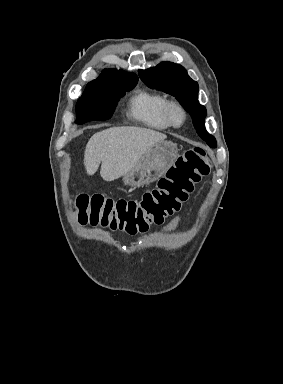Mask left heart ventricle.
<instances>
[{"instance_id": "b2bd125f", "label": "left heart ventricle", "mask_w": 283, "mask_h": 384, "mask_svg": "<svg viewBox=\"0 0 283 384\" xmlns=\"http://www.w3.org/2000/svg\"><path fill=\"white\" fill-rule=\"evenodd\" d=\"M173 118H174L175 122L180 123L181 119H182L181 113L177 110L174 111Z\"/></svg>"}]
</instances>
